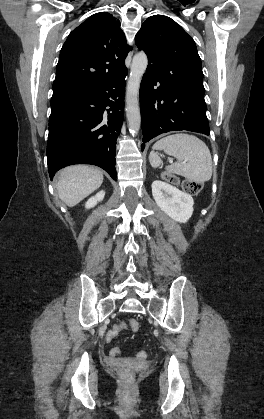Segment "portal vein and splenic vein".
<instances>
[{"mask_svg":"<svg viewBox=\"0 0 264 419\" xmlns=\"http://www.w3.org/2000/svg\"><path fill=\"white\" fill-rule=\"evenodd\" d=\"M169 162H170V163H172V162H173V160H172V159H169Z\"/></svg>","mask_w":264,"mask_h":419,"instance_id":"portal-vein-and-splenic-vein-1","label":"portal vein and splenic vein"}]
</instances>
